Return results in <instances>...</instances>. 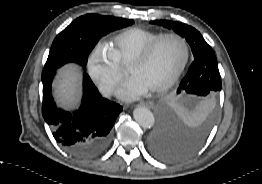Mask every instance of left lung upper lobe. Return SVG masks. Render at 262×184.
I'll return each mask as SVG.
<instances>
[{
  "label": "left lung upper lobe",
  "mask_w": 262,
  "mask_h": 184,
  "mask_svg": "<svg viewBox=\"0 0 262 184\" xmlns=\"http://www.w3.org/2000/svg\"><path fill=\"white\" fill-rule=\"evenodd\" d=\"M151 23L173 29L184 37L191 46L194 55V62L191 64L187 75L181 81L177 89V94L187 93L206 100L212 99L217 92L221 90V77L216 73V70H204V68H206L204 64L202 66H197L195 63V61L200 57L214 54V51L203 39L200 32L187 24L174 21L156 20ZM161 118L167 122L170 121L166 109L161 112Z\"/></svg>",
  "instance_id": "5c2ea615"
}]
</instances>
